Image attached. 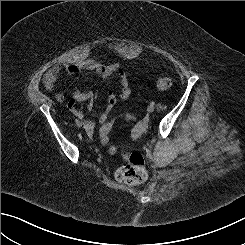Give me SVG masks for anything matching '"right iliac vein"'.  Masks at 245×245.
<instances>
[{
  "label": "right iliac vein",
  "mask_w": 245,
  "mask_h": 245,
  "mask_svg": "<svg viewBox=\"0 0 245 245\" xmlns=\"http://www.w3.org/2000/svg\"><path fill=\"white\" fill-rule=\"evenodd\" d=\"M81 126H83V123L82 122H80V124H79V127H81Z\"/></svg>",
  "instance_id": "63e3f726"
}]
</instances>
